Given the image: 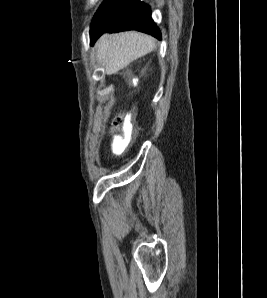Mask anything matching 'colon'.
Here are the masks:
<instances>
[{"label": "colon", "instance_id": "obj_1", "mask_svg": "<svg viewBox=\"0 0 267 298\" xmlns=\"http://www.w3.org/2000/svg\"><path fill=\"white\" fill-rule=\"evenodd\" d=\"M114 124H115L116 126H119L120 124H122V118H121V117H117V118L115 119V121H114Z\"/></svg>", "mask_w": 267, "mask_h": 298}]
</instances>
